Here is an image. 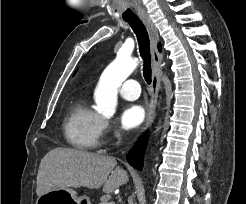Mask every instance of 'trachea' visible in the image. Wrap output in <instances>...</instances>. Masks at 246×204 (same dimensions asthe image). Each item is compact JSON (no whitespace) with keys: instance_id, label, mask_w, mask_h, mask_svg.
<instances>
[{"instance_id":"1","label":"trachea","mask_w":246,"mask_h":204,"mask_svg":"<svg viewBox=\"0 0 246 204\" xmlns=\"http://www.w3.org/2000/svg\"><path fill=\"white\" fill-rule=\"evenodd\" d=\"M126 21L129 23V25L131 26V28L133 29L134 33L137 36L140 55L143 59V76L147 84H150L151 83V72H150L151 57H150V42H149L148 32L146 30V27L138 17L127 19Z\"/></svg>"}]
</instances>
